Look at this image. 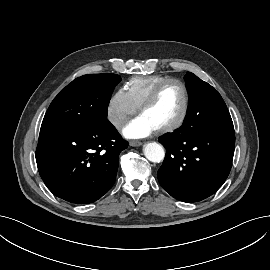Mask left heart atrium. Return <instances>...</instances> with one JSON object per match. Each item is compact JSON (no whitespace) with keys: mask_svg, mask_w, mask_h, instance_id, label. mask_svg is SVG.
<instances>
[{"mask_svg":"<svg viewBox=\"0 0 270 270\" xmlns=\"http://www.w3.org/2000/svg\"><path fill=\"white\" fill-rule=\"evenodd\" d=\"M157 129L143 115L132 119L123 128V135L127 139H142L150 136Z\"/></svg>","mask_w":270,"mask_h":270,"instance_id":"1","label":"left heart atrium"}]
</instances>
